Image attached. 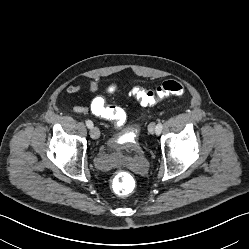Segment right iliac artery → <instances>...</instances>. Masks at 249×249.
I'll return each mask as SVG.
<instances>
[{"label":"right iliac artery","instance_id":"82829eb1","mask_svg":"<svg viewBox=\"0 0 249 249\" xmlns=\"http://www.w3.org/2000/svg\"><path fill=\"white\" fill-rule=\"evenodd\" d=\"M86 125H87L88 128H92L93 127V123L90 120L86 121Z\"/></svg>","mask_w":249,"mask_h":249}]
</instances>
